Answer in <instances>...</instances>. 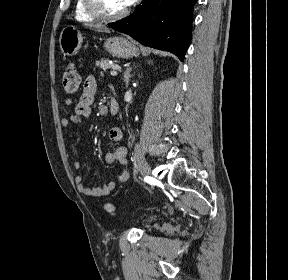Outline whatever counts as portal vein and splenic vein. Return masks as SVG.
I'll return each instance as SVG.
<instances>
[{
    "label": "portal vein and splenic vein",
    "instance_id": "obj_1",
    "mask_svg": "<svg viewBox=\"0 0 288 280\" xmlns=\"http://www.w3.org/2000/svg\"><path fill=\"white\" fill-rule=\"evenodd\" d=\"M117 70H119L118 67H113V70L110 71V75L116 76L117 75Z\"/></svg>",
    "mask_w": 288,
    "mask_h": 280
}]
</instances>
